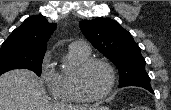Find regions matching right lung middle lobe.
I'll use <instances>...</instances> for the list:
<instances>
[{"instance_id":"1","label":"right lung middle lobe","mask_w":171,"mask_h":110,"mask_svg":"<svg viewBox=\"0 0 171 110\" xmlns=\"http://www.w3.org/2000/svg\"><path fill=\"white\" fill-rule=\"evenodd\" d=\"M44 54L27 52L14 46H2L0 50V75L12 70L25 68L41 75Z\"/></svg>"}]
</instances>
